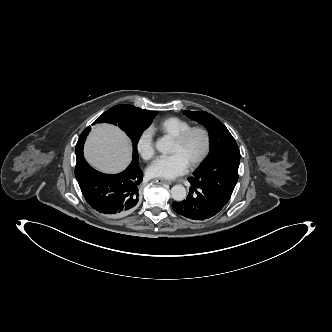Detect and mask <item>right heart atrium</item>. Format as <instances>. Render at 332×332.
I'll return each mask as SVG.
<instances>
[{"mask_svg":"<svg viewBox=\"0 0 332 332\" xmlns=\"http://www.w3.org/2000/svg\"><path fill=\"white\" fill-rule=\"evenodd\" d=\"M136 149L144 160H150L154 153L153 132L150 128L143 130L137 138Z\"/></svg>","mask_w":332,"mask_h":332,"instance_id":"1","label":"right heart atrium"}]
</instances>
